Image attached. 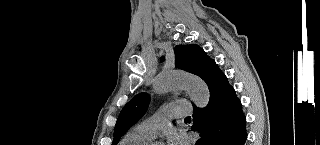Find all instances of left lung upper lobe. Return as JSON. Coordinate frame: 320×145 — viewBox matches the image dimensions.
Instances as JSON below:
<instances>
[{
	"label": "left lung upper lobe",
	"instance_id": "1",
	"mask_svg": "<svg viewBox=\"0 0 320 145\" xmlns=\"http://www.w3.org/2000/svg\"><path fill=\"white\" fill-rule=\"evenodd\" d=\"M174 52L175 67L198 76L212 61L201 47L194 44L177 45ZM163 60L164 57L161 58V61ZM149 102L150 96L147 93H140L124 106L115 126L113 145H116L118 139L144 115Z\"/></svg>",
	"mask_w": 320,
	"mask_h": 145
}]
</instances>
